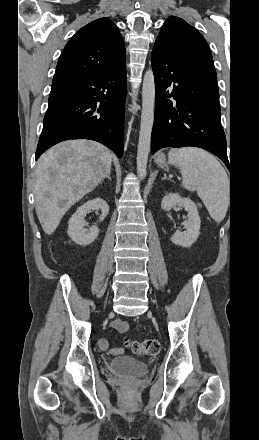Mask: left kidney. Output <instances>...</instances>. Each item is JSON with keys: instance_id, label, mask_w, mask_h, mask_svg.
<instances>
[{"instance_id": "left-kidney-1", "label": "left kidney", "mask_w": 259, "mask_h": 440, "mask_svg": "<svg viewBox=\"0 0 259 440\" xmlns=\"http://www.w3.org/2000/svg\"><path fill=\"white\" fill-rule=\"evenodd\" d=\"M184 207L188 212V220L185 222V231L177 230L171 237V241L182 247H190L198 238L201 220L196 204L189 198H182L178 193H168L161 202L164 211H170L173 207Z\"/></svg>"}]
</instances>
